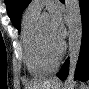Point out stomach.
Wrapping results in <instances>:
<instances>
[{"instance_id": "1", "label": "stomach", "mask_w": 89, "mask_h": 89, "mask_svg": "<svg viewBox=\"0 0 89 89\" xmlns=\"http://www.w3.org/2000/svg\"><path fill=\"white\" fill-rule=\"evenodd\" d=\"M51 89H61V86L60 85H55L53 88Z\"/></svg>"}]
</instances>
